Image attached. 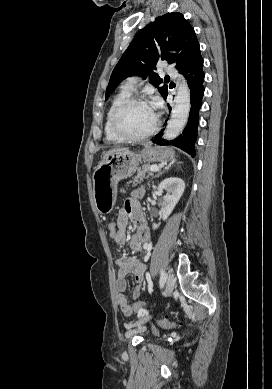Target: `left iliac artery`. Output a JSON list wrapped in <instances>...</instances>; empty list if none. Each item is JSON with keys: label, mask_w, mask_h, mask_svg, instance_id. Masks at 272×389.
Returning a JSON list of instances; mask_svg holds the SVG:
<instances>
[{"label": "left iliac artery", "mask_w": 272, "mask_h": 389, "mask_svg": "<svg viewBox=\"0 0 272 389\" xmlns=\"http://www.w3.org/2000/svg\"><path fill=\"white\" fill-rule=\"evenodd\" d=\"M166 273L164 272V270H161L160 271V280H159V284H160V287L162 288L164 286V283L166 281ZM148 289H149V292H152L153 291V284H152V281L148 280Z\"/></svg>", "instance_id": "left-iliac-artery-1"}]
</instances>
